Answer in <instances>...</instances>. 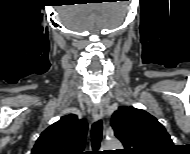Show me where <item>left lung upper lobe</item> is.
Instances as JSON below:
<instances>
[{
	"label": "left lung upper lobe",
	"instance_id": "obj_1",
	"mask_svg": "<svg viewBox=\"0 0 190 154\" xmlns=\"http://www.w3.org/2000/svg\"><path fill=\"white\" fill-rule=\"evenodd\" d=\"M111 125L125 147L123 154H159L173 147L164 126L145 110L120 106Z\"/></svg>",
	"mask_w": 190,
	"mask_h": 154
}]
</instances>
